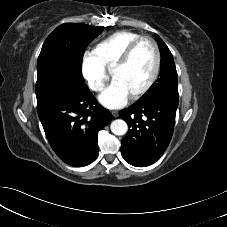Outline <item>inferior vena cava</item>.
Instances as JSON below:
<instances>
[{"label": "inferior vena cava", "instance_id": "1", "mask_svg": "<svg viewBox=\"0 0 227 227\" xmlns=\"http://www.w3.org/2000/svg\"><path fill=\"white\" fill-rule=\"evenodd\" d=\"M95 90H102L103 89V86L102 85H96L94 87Z\"/></svg>", "mask_w": 227, "mask_h": 227}]
</instances>
